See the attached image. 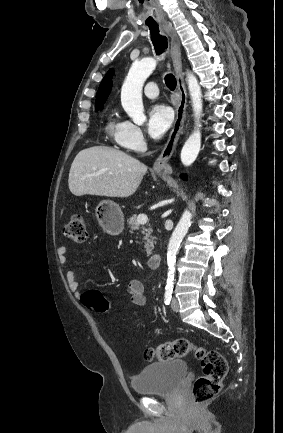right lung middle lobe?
Returning <instances> with one entry per match:
<instances>
[{"label":"right lung middle lobe","instance_id":"right-lung-middle-lobe-1","mask_svg":"<svg viewBox=\"0 0 283 433\" xmlns=\"http://www.w3.org/2000/svg\"><path fill=\"white\" fill-rule=\"evenodd\" d=\"M103 109V107H100V108H97L96 110H102Z\"/></svg>","mask_w":283,"mask_h":433}]
</instances>
